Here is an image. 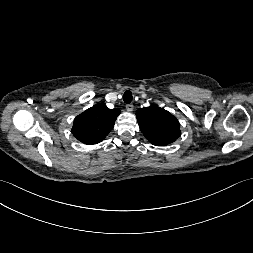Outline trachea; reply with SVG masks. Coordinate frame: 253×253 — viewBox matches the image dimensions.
I'll return each mask as SVG.
<instances>
[{
  "label": "trachea",
  "mask_w": 253,
  "mask_h": 253,
  "mask_svg": "<svg viewBox=\"0 0 253 253\" xmlns=\"http://www.w3.org/2000/svg\"><path fill=\"white\" fill-rule=\"evenodd\" d=\"M132 93L130 91H126L123 95V101L129 104L132 101Z\"/></svg>",
  "instance_id": "1"
}]
</instances>
